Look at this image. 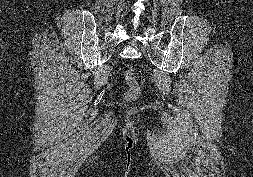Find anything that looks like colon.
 Segmentation results:
<instances>
[{
	"instance_id": "5ec220e1",
	"label": "colon",
	"mask_w": 253,
	"mask_h": 177,
	"mask_svg": "<svg viewBox=\"0 0 253 177\" xmlns=\"http://www.w3.org/2000/svg\"><path fill=\"white\" fill-rule=\"evenodd\" d=\"M124 79L127 84L126 98L128 100H135L140 94V85L136 75L131 70L124 72Z\"/></svg>"
}]
</instances>
